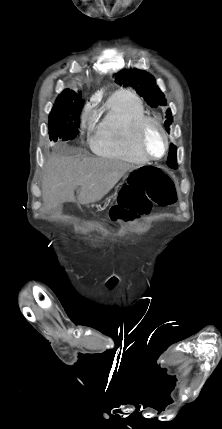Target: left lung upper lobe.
Listing matches in <instances>:
<instances>
[{
	"label": "left lung upper lobe",
	"instance_id": "left-lung-upper-lobe-1",
	"mask_svg": "<svg viewBox=\"0 0 222 429\" xmlns=\"http://www.w3.org/2000/svg\"><path fill=\"white\" fill-rule=\"evenodd\" d=\"M116 82L123 86H132L142 96L148 105L155 108L157 106H166V99L163 93L156 85L155 79L152 75L146 71L134 68L133 70L123 69L115 74ZM167 120L164 126L169 132V126L172 123V115L170 109L166 111ZM176 159V146L170 145V151L168 154L167 165L173 169L177 168Z\"/></svg>",
	"mask_w": 222,
	"mask_h": 429
}]
</instances>
